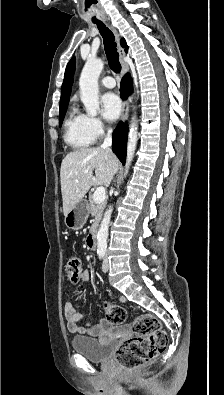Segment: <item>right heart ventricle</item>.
<instances>
[{
  "mask_svg": "<svg viewBox=\"0 0 224 395\" xmlns=\"http://www.w3.org/2000/svg\"><path fill=\"white\" fill-rule=\"evenodd\" d=\"M94 140L85 116L73 109L65 122V141L73 148L82 149L92 145Z\"/></svg>",
  "mask_w": 224,
  "mask_h": 395,
  "instance_id": "1",
  "label": "right heart ventricle"
}]
</instances>
